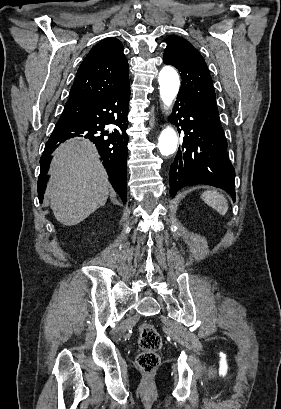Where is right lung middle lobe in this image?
<instances>
[{
    "mask_svg": "<svg viewBox=\"0 0 281 409\" xmlns=\"http://www.w3.org/2000/svg\"><path fill=\"white\" fill-rule=\"evenodd\" d=\"M61 120H65V118H64V117H61V118L59 119V121H61Z\"/></svg>",
    "mask_w": 281,
    "mask_h": 409,
    "instance_id": "1",
    "label": "right lung middle lobe"
}]
</instances>
